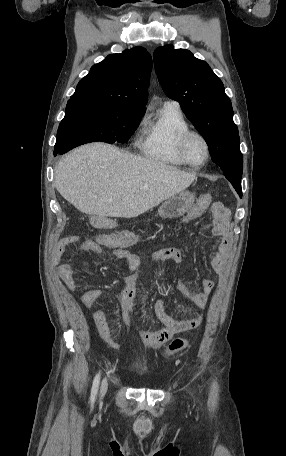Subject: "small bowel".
Returning <instances> with one entry per match:
<instances>
[{
  "label": "small bowel",
  "instance_id": "obj_1",
  "mask_svg": "<svg viewBox=\"0 0 286 456\" xmlns=\"http://www.w3.org/2000/svg\"><path fill=\"white\" fill-rule=\"evenodd\" d=\"M218 207L211 206L214 223L212 234L215 240L212 243L210 266L217 273H224L227 268L230 255L231 241L229 237V213L223 205L217 202ZM207 206H202L199 203L194 205L181 220V224L189 223L199 217ZM105 236L113 237L111 243L104 241ZM76 239L72 236L64 237L58 241L54 247L52 254V263L57 266V274L67 290L73 292L75 290L74 267L70 260L61 262L62 257L66 253L67 246L73 243ZM137 242V237L131 232H119L114 234H102L95 239L85 240L80 242L76 247L77 253H85L91 255H104L109 251L110 255L116 259L123 261L126 267L131 271V274L125 277V286L121 294L122 315L125 324L131 330L137 332L140 340L148 347L155 349L172 336L178 333L191 331L203 321L202 316H198L186 320H176L168 312L164 301L161 298H156L153 304V310L156 318L163 324V328L158 331L139 330L135 327L133 321V302L136 295V281L141 267L140 258L125 249V247ZM184 254L180 248H164L153 252L150 256L152 261H162L178 264L183 261ZM200 286L202 292L195 293L189 290L185 282L181 279L177 282V288L183 298L199 308H205L208 304L209 295L215 287V282L211 279H201ZM102 290L88 289L81 297V304L86 310H90L97 300L101 297ZM93 322L97 329L100 338L109 347L116 349L118 347L110 337V327L107 321L104 307L99 305L93 313Z\"/></svg>",
  "mask_w": 286,
  "mask_h": 456
}]
</instances>
